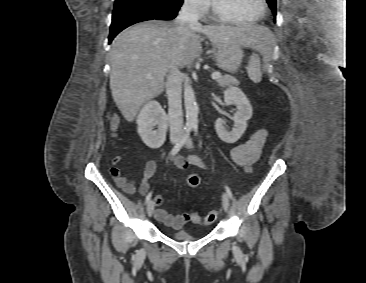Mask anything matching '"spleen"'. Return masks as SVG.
<instances>
[{
    "mask_svg": "<svg viewBox=\"0 0 366 283\" xmlns=\"http://www.w3.org/2000/svg\"><path fill=\"white\" fill-rule=\"evenodd\" d=\"M260 66L259 55L257 53H253L247 66V73L251 81L254 83H258L262 79Z\"/></svg>",
    "mask_w": 366,
    "mask_h": 283,
    "instance_id": "obj_1",
    "label": "spleen"
}]
</instances>
